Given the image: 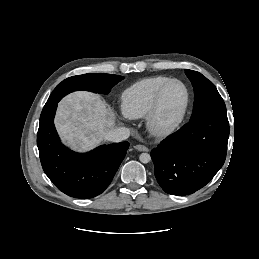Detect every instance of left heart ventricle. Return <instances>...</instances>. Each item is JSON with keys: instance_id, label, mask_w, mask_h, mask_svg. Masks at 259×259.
Masks as SVG:
<instances>
[{"instance_id": "left-heart-ventricle-1", "label": "left heart ventricle", "mask_w": 259, "mask_h": 259, "mask_svg": "<svg viewBox=\"0 0 259 259\" xmlns=\"http://www.w3.org/2000/svg\"><path fill=\"white\" fill-rule=\"evenodd\" d=\"M185 96V90L179 83H171L165 88L158 113L160 124H170L179 116L185 103Z\"/></svg>"}]
</instances>
